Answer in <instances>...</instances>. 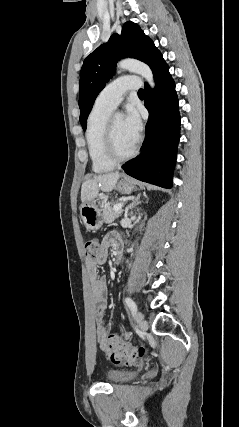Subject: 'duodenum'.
Instances as JSON below:
<instances>
[{
  "label": "duodenum",
  "mask_w": 239,
  "mask_h": 427,
  "mask_svg": "<svg viewBox=\"0 0 239 427\" xmlns=\"http://www.w3.org/2000/svg\"><path fill=\"white\" fill-rule=\"evenodd\" d=\"M116 250V261L118 262L120 259V255H121V250H122V245L121 243H118L117 246L115 247Z\"/></svg>",
  "instance_id": "410a0bca"
}]
</instances>
